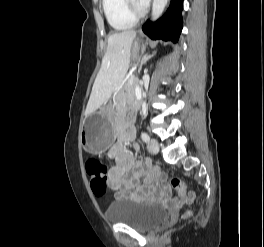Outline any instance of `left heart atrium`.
Here are the masks:
<instances>
[{
    "label": "left heart atrium",
    "instance_id": "39dd6f15",
    "mask_svg": "<svg viewBox=\"0 0 264 247\" xmlns=\"http://www.w3.org/2000/svg\"><path fill=\"white\" fill-rule=\"evenodd\" d=\"M150 0H137V3L142 6V7H145L148 5Z\"/></svg>",
    "mask_w": 264,
    "mask_h": 247
}]
</instances>
